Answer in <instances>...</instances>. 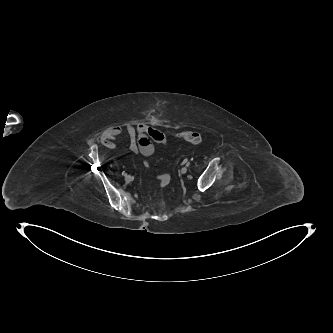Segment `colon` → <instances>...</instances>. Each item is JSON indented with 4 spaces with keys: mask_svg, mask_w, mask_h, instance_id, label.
Instances as JSON below:
<instances>
[{
    "mask_svg": "<svg viewBox=\"0 0 333 333\" xmlns=\"http://www.w3.org/2000/svg\"><path fill=\"white\" fill-rule=\"evenodd\" d=\"M176 137L183 139L193 145H198L201 143L202 138L201 135L197 132L187 131L180 134H177ZM146 165L149 167V162H146ZM157 179L159 181V185L161 188H165L169 185L171 178L167 174H160L157 176Z\"/></svg>",
    "mask_w": 333,
    "mask_h": 333,
    "instance_id": "obj_1",
    "label": "colon"
}]
</instances>
